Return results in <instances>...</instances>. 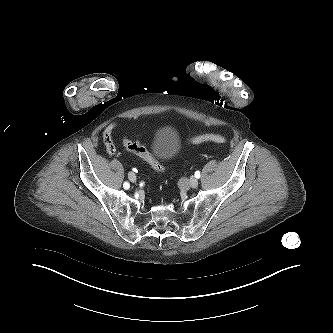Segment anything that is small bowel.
Wrapping results in <instances>:
<instances>
[{
    "mask_svg": "<svg viewBox=\"0 0 333 333\" xmlns=\"http://www.w3.org/2000/svg\"><path fill=\"white\" fill-rule=\"evenodd\" d=\"M118 126V123L116 121L111 122L110 124H108L106 126V128L104 129L103 132V141L106 147V150L108 152V154L113 155L116 152V147L113 143L112 140V134L114 129Z\"/></svg>",
    "mask_w": 333,
    "mask_h": 333,
    "instance_id": "1",
    "label": "small bowel"
}]
</instances>
